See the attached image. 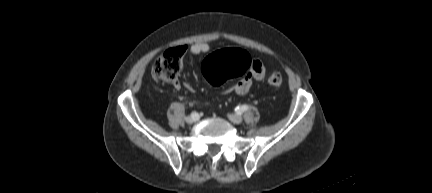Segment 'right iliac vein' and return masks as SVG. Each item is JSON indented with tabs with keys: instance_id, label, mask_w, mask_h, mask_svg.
<instances>
[{
	"instance_id": "63e3f726",
	"label": "right iliac vein",
	"mask_w": 432,
	"mask_h": 193,
	"mask_svg": "<svg viewBox=\"0 0 432 193\" xmlns=\"http://www.w3.org/2000/svg\"><path fill=\"white\" fill-rule=\"evenodd\" d=\"M199 120V115L197 114L196 116H188V117H186V122L188 123V124H192V123H194V122H196V121H198Z\"/></svg>"
}]
</instances>
